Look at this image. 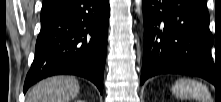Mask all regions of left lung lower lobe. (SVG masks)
<instances>
[{"instance_id": "obj_1", "label": "left lung lower lobe", "mask_w": 221, "mask_h": 102, "mask_svg": "<svg viewBox=\"0 0 221 102\" xmlns=\"http://www.w3.org/2000/svg\"><path fill=\"white\" fill-rule=\"evenodd\" d=\"M144 49L140 83L164 73L202 77L212 84L216 67L205 0H143Z\"/></svg>"}]
</instances>
